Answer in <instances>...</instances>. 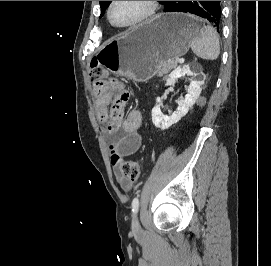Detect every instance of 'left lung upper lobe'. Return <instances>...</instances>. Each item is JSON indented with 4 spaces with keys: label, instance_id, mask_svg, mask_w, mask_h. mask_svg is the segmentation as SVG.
Returning a JSON list of instances; mask_svg holds the SVG:
<instances>
[{
    "label": "left lung upper lobe",
    "instance_id": "obj_1",
    "mask_svg": "<svg viewBox=\"0 0 271 266\" xmlns=\"http://www.w3.org/2000/svg\"><path fill=\"white\" fill-rule=\"evenodd\" d=\"M112 1H100V6H101V16L105 13L106 8L109 6V4ZM164 6L169 2V1H160Z\"/></svg>",
    "mask_w": 271,
    "mask_h": 266
}]
</instances>
